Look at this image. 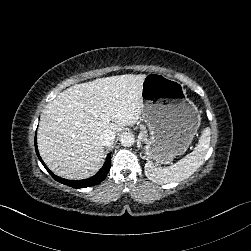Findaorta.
Returning <instances> with one entry per match:
<instances>
[{
	"label": "aorta",
	"mask_w": 251,
	"mask_h": 251,
	"mask_svg": "<svg viewBox=\"0 0 251 251\" xmlns=\"http://www.w3.org/2000/svg\"><path fill=\"white\" fill-rule=\"evenodd\" d=\"M134 135L128 132H124L120 135V143L124 147H130L134 144Z\"/></svg>",
	"instance_id": "obj_1"
}]
</instances>
